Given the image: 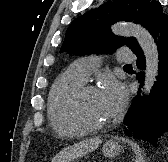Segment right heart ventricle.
<instances>
[{
    "label": "right heart ventricle",
    "mask_w": 168,
    "mask_h": 162,
    "mask_svg": "<svg viewBox=\"0 0 168 162\" xmlns=\"http://www.w3.org/2000/svg\"><path fill=\"white\" fill-rule=\"evenodd\" d=\"M83 83L69 68L55 79L50 89L47 114L52 129L59 136L75 137L86 132L71 119L66 107L70 95Z\"/></svg>",
    "instance_id": "1"
}]
</instances>
